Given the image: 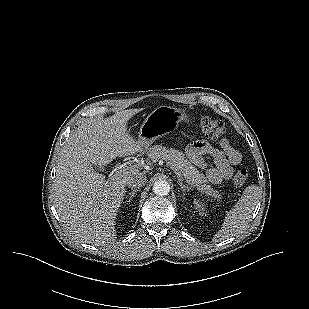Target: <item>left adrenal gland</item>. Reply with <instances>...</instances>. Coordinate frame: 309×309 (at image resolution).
Segmentation results:
<instances>
[{
    "mask_svg": "<svg viewBox=\"0 0 309 309\" xmlns=\"http://www.w3.org/2000/svg\"><path fill=\"white\" fill-rule=\"evenodd\" d=\"M178 184L180 185L182 192H183V195L185 196L186 191H189L190 188L188 186H186L185 184H183L181 178H178Z\"/></svg>",
    "mask_w": 309,
    "mask_h": 309,
    "instance_id": "obj_1",
    "label": "left adrenal gland"
}]
</instances>
